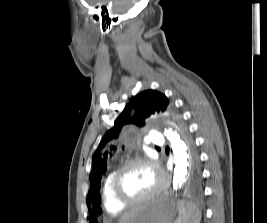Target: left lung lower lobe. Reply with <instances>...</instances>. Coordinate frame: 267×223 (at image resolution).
<instances>
[{
    "label": "left lung lower lobe",
    "instance_id": "0a47b994",
    "mask_svg": "<svg viewBox=\"0 0 267 223\" xmlns=\"http://www.w3.org/2000/svg\"><path fill=\"white\" fill-rule=\"evenodd\" d=\"M186 176H190L193 181L197 182L203 176V171H186Z\"/></svg>",
    "mask_w": 267,
    "mask_h": 223
}]
</instances>
